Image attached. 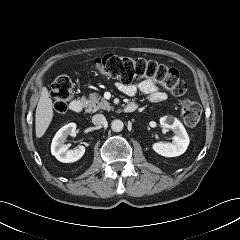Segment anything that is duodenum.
I'll return each instance as SVG.
<instances>
[{
    "mask_svg": "<svg viewBox=\"0 0 240 240\" xmlns=\"http://www.w3.org/2000/svg\"><path fill=\"white\" fill-rule=\"evenodd\" d=\"M82 101L78 98L73 99L69 104V109L73 113H79L82 110ZM138 108L136 103H129L123 107V111L126 113H132Z\"/></svg>",
    "mask_w": 240,
    "mask_h": 240,
    "instance_id": "duodenum-1",
    "label": "duodenum"
}]
</instances>
